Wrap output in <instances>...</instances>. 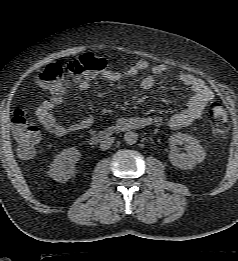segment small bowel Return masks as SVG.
I'll return each instance as SVG.
<instances>
[{
    "mask_svg": "<svg viewBox=\"0 0 238 261\" xmlns=\"http://www.w3.org/2000/svg\"><path fill=\"white\" fill-rule=\"evenodd\" d=\"M149 68V63L146 60H139L133 66L124 71H113L105 68L99 72L102 79L107 82L114 83L123 79L136 76L139 72L145 71ZM169 72V67L165 64H158L151 67L150 72L140 82V86L144 90L153 88L156 79ZM89 76L79 77L75 80L74 87L78 91H85L90 86ZM177 80L187 86L191 91L185 109L179 113L174 114L168 119L150 116L138 117H121L117 120V124H132L137 128L148 126L165 127L168 129L176 130L191 125L194 121L201 118L205 108L213 99L211 89L200 78L188 74L179 73ZM64 92H53L52 96L45 99L41 105L36 109V117L41 126L51 135L55 137H63L69 133H76L91 128L94 124V117L89 114L87 117L73 122L69 125L61 124L54 115V110L60 106L64 101ZM90 111L93 110L91 103H88Z\"/></svg>",
    "mask_w": 238,
    "mask_h": 261,
    "instance_id": "obj_1",
    "label": "small bowel"
}]
</instances>
